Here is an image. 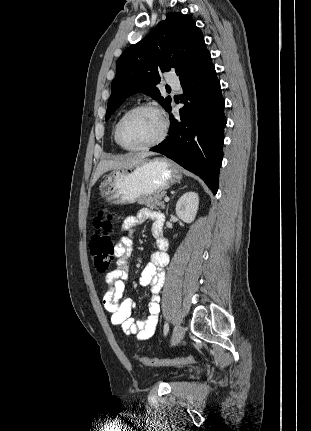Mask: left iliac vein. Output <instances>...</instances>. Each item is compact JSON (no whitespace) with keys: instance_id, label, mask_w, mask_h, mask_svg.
<instances>
[{"instance_id":"1","label":"left iliac vein","mask_w":311,"mask_h":431,"mask_svg":"<svg viewBox=\"0 0 311 431\" xmlns=\"http://www.w3.org/2000/svg\"><path fill=\"white\" fill-rule=\"evenodd\" d=\"M185 328L181 325H177L173 331L171 345H177L184 337Z\"/></svg>"}]
</instances>
